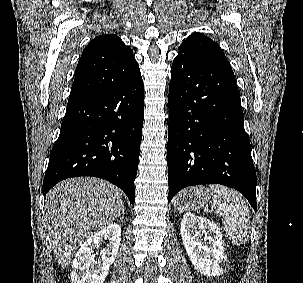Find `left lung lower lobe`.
Instances as JSON below:
<instances>
[{
  "label": "left lung lower lobe",
  "instance_id": "left-lung-lower-lobe-1",
  "mask_svg": "<svg viewBox=\"0 0 303 283\" xmlns=\"http://www.w3.org/2000/svg\"><path fill=\"white\" fill-rule=\"evenodd\" d=\"M168 101L169 202L187 186L221 184L240 191L256 210V171L227 58L177 56Z\"/></svg>",
  "mask_w": 303,
  "mask_h": 283
}]
</instances>
